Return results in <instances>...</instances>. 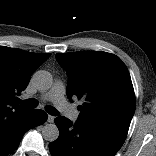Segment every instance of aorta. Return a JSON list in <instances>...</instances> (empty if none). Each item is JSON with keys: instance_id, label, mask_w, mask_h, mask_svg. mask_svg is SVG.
I'll list each match as a JSON object with an SVG mask.
<instances>
[{"instance_id": "aorta-1", "label": "aorta", "mask_w": 156, "mask_h": 156, "mask_svg": "<svg viewBox=\"0 0 156 156\" xmlns=\"http://www.w3.org/2000/svg\"><path fill=\"white\" fill-rule=\"evenodd\" d=\"M32 80L37 88L41 90L49 89L52 85V75L45 70L36 71ZM42 136L46 141L53 142L59 136V129L54 123L46 124L42 128Z\"/></svg>"}]
</instances>
